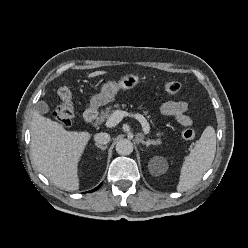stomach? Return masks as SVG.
Instances as JSON below:
<instances>
[{
	"mask_svg": "<svg viewBox=\"0 0 248 248\" xmlns=\"http://www.w3.org/2000/svg\"><path fill=\"white\" fill-rule=\"evenodd\" d=\"M140 83V78L134 74H126L121 77L118 82L108 81L105 83L99 94L94 95L90 100V105L93 108L104 106L114 101L116 94L120 89H133Z\"/></svg>",
	"mask_w": 248,
	"mask_h": 248,
	"instance_id": "1",
	"label": "stomach"
}]
</instances>
